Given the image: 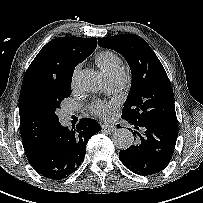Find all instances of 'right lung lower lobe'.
<instances>
[{
	"label": "right lung lower lobe",
	"mask_w": 203,
	"mask_h": 203,
	"mask_svg": "<svg viewBox=\"0 0 203 203\" xmlns=\"http://www.w3.org/2000/svg\"><path fill=\"white\" fill-rule=\"evenodd\" d=\"M100 130L101 126L88 118L71 130L59 123L48 140L26 156L40 175L52 180L66 178L83 162L88 140Z\"/></svg>",
	"instance_id": "98d812e1"
}]
</instances>
